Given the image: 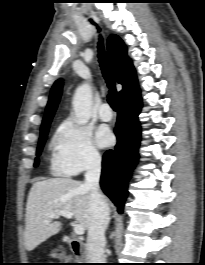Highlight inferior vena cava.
Returning <instances> with one entry per match:
<instances>
[{
	"instance_id": "1",
	"label": "inferior vena cava",
	"mask_w": 205,
	"mask_h": 265,
	"mask_svg": "<svg viewBox=\"0 0 205 265\" xmlns=\"http://www.w3.org/2000/svg\"><path fill=\"white\" fill-rule=\"evenodd\" d=\"M101 157L92 153L87 162L84 185L90 189L91 218L88 227L87 256L89 263H104L105 230L110 221V210L99 193Z\"/></svg>"
}]
</instances>
